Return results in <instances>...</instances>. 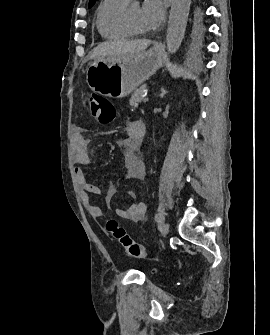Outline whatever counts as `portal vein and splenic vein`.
Returning <instances> with one entry per match:
<instances>
[{
	"mask_svg": "<svg viewBox=\"0 0 270 335\" xmlns=\"http://www.w3.org/2000/svg\"><path fill=\"white\" fill-rule=\"evenodd\" d=\"M145 96H147V92H145V94H143V98H144L143 100L146 101V102L149 101V98H147V97L145 98Z\"/></svg>",
	"mask_w": 270,
	"mask_h": 335,
	"instance_id": "1",
	"label": "portal vein and splenic vein"
}]
</instances>
